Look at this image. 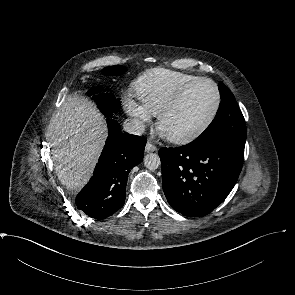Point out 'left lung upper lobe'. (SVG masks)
Wrapping results in <instances>:
<instances>
[{
  "label": "left lung upper lobe",
  "instance_id": "5c2ea615",
  "mask_svg": "<svg viewBox=\"0 0 295 295\" xmlns=\"http://www.w3.org/2000/svg\"><path fill=\"white\" fill-rule=\"evenodd\" d=\"M221 103L216 117L207 129L192 143L200 144L212 140H224L245 147L246 124L232 92L220 82Z\"/></svg>",
  "mask_w": 295,
  "mask_h": 295
}]
</instances>
